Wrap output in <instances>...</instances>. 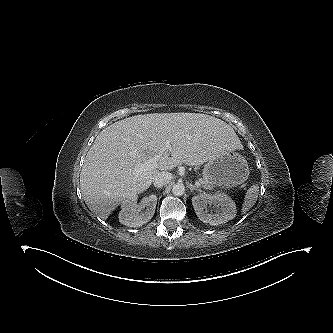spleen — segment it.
<instances>
[{
  "label": "spleen",
  "mask_w": 333,
  "mask_h": 333,
  "mask_svg": "<svg viewBox=\"0 0 333 333\" xmlns=\"http://www.w3.org/2000/svg\"><path fill=\"white\" fill-rule=\"evenodd\" d=\"M259 194V186L252 185L244 198V203L242 205V213L245 214L248 212L256 203Z\"/></svg>",
  "instance_id": "spleen-1"
}]
</instances>
